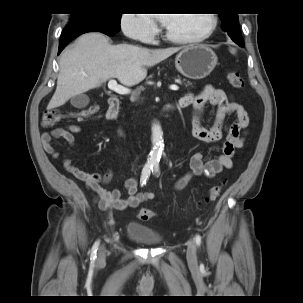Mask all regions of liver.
I'll return each instance as SVG.
<instances>
[{
	"mask_svg": "<svg viewBox=\"0 0 303 303\" xmlns=\"http://www.w3.org/2000/svg\"><path fill=\"white\" fill-rule=\"evenodd\" d=\"M178 51L177 48L150 50L134 45H111L97 32L81 35L60 59L56 91L47 109L64 105L70 98L117 78L125 86H134L152 67Z\"/></svg>",
	"mask_w": 303,
	"mask_h": 303,
	"instance_id": "6515ba94",
	"label": "liver"
}]
</instances>
